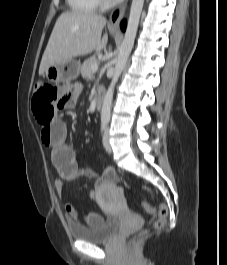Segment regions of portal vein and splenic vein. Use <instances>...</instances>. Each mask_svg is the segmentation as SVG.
<instances>
[{
  "label": "portal vein and splenic vein",
  "mask_w": 227,
  "mask_h": 265,
  "mask_svg": "<svg viewBox=\"0 0 227 265\" xmlns=\"http://www.w3.org/2000/svg\"><path fill=\"white\" fill-rule=\"evenodd\" d=\"M91 69H92V72L94 73V72H96L98 70V66L97 65H93Z\"/></svg>",
  "instance_id": "portal-vein-and-splenic-vein-1"
}]
</instances>
